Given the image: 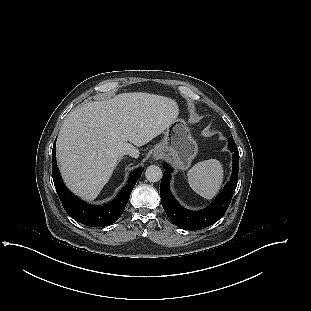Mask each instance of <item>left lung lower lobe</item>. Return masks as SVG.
<instances>
[{"mask_svg": "<svg viewBox=\"0 0 311 311\" xmlns=\"http://www.w3.org/2000/svg\"><path fill=\"white\" fill-rule=\"evenodd\" d=\"M228 148L233 152V171L230 181L217 199L210 206L200 211L187 210L175 200L169 189L172 169L168 164L163 165L165 171L160 184L161 202L168 218L175 226L190 231L199 230L212 225L224 216L237 186L239 168L237 147Z\"/></svg>", "mask_w": 311, "mask_h": 311, "instance_id": "left-lung-lower-lobe-1", "label": "left lung lower lobe"}]
</instances>
